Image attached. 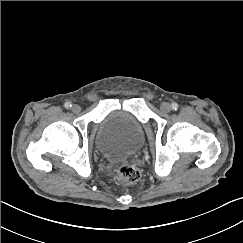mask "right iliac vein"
<instances>
[{"label":"right iliac vein","instance_id":"1","mask_svg":"<svg viewBox=\"0 0 243 243\" xmlns=\"http://www.w3.org/2000/svg\"><path fill=\"white\" fill-rule=\"evenodd\" d=\"M71 110L74 113H79L81 111V107L78 104H73L72 107H71Z\"/></svg>","mask_w":243,"mask_h":243}]
</instances>
